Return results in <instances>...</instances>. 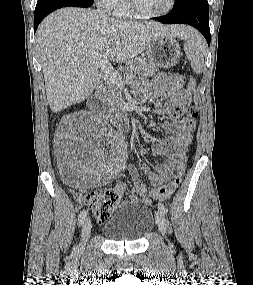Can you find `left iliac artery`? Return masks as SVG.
<instances>
[{
    "label": "left iliac artery",
    "instance_id": "left-iliac-artery-1",
    "mask_svg": "<svg viewBox=\"0 0 253 285\" xmlns=\"http://www.w3.org/2000/svg\"><path fill=\"white\" fill-rule=\"evenodd\" d=\"M158 208L163 212V214H167L168 209L165 207L164 204L159 203V204H158Z\"/></svg>",
    "mask_w": 253,
    "mask_h": 285
}]
</instances>
